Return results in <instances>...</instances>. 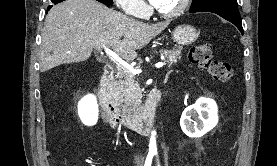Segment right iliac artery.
<instances>
[{"label":"right iliac artery","mask_w":277,"mask_h":166,"mask_svg":"<svg viewBox=\"0 0 277 166\" xmlns=\"http://www.w3.org/2000/svg\"><path fill=\"white\" fill-rule=\"evenodd\" d=\"M152 158H153V155L152 154H149L146 158V161H145V164L144 166H151L152 164Z\"/></svg>","instance_id":"obj_1"}]
</instances>
